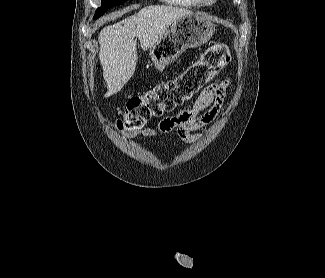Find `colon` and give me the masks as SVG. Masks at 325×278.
I'll return each instance as SVG.
<instances>
[{"instance_id":"colon-1","label":"colon","mask_w":325,"mask_h":278,"mask_svg":"<svg viewBox=\"0 0 325 278\" xmlns=\"http://www.w3.org/2000/svg\"><path fill=\"white\" fill-rule=\"evenodd\" d=\"M230 61L231 55L226 44L218 43L211 46L179 76L130 98L119 107L116 127L119 130L142 129L150 119L170 112L189 101Z\"/></svg>"}]
</instances>
